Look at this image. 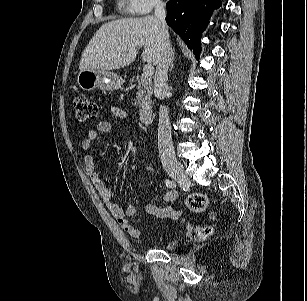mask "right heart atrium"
I'll use <instances>...</instances> for the list:
<instances>
[{
  "instance_id": "1",
  "label": "right heart atrium",
  "mask_w": 307,
  "mask_h": 301,
  "mask_svg": "<svg viewBox=\"0 0 307 301\" xmlns=\"http://www.w3.org/2000/svg\"><path fill=\"white\" fill-rule=\"evenodd\" d=\"M127 9L138 15L150 13L163 6L162 0H123Z\"/></svg>"
}]
</instances>
